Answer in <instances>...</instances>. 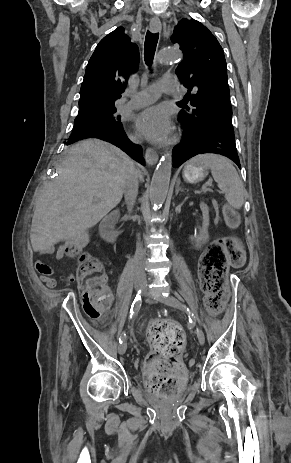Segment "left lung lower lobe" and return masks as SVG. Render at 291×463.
<instances>
[{
    "mask_svg": "<svg viewBox=\"0 0 291 463\" xmlns=\"http://www.w3.org/2000/svg\"><path fill=\"white\" fill-rule=\"evenodd\" d=\"M183 133L181 142L173 149V167L177 168L193 156L213 153L230 158L239 168L234 132L185 121L178 116Z\"/></svg>",
    "mask_w": 291,
    "mask_h": 463,
    "instance_id": "1",
    "label": "left lung lower lobe"
}]
</instances>
